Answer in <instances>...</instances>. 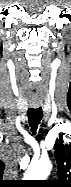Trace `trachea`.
Returning a JSON list of instances; mask_svg holds the SVG:
<instances>
[{"instance_id":"obj_1","label":"trachea","mask_w":71,"mask_h":187,"mask_svg":"<svg viewBox=\"0 0 71 187\" xmlns=\"http://www.w3.org/2000/svg\"><path fill=\"white\" fill-rule=\"evenodd\" d=\"M42 116L43 112L41 107L28 109V121L33 134H36Z\"/></svg>"}]
</instances>
